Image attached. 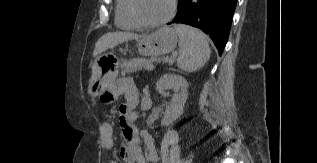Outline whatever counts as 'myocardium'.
<instances>
[{
  "label": "myocardium",
  "mask_w": 317,
  "mask_h": 163,
  "mask_svg": "<svg viewBox=\"0 0 317 163\" xmlns=\"http://www.w3.org/2000/svg\"><path fill=\"white\" fill-rule=\"evenodd\" d=\"M129 12L134 21L141 27L157 28L167 24L175 15L177 10V0H171V6L168 14L161 20L149 22L144 20L137 10V0H129Z\"/></svg>",
  "instance_id": "1"
}]
</instances>
